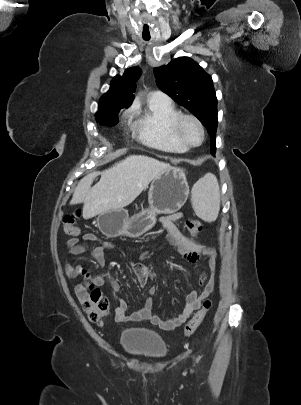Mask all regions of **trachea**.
<instances>
[{
  "label": "trachea",
  "instance_id": "obj_1",
  "mask_svg": "<svg viewBox=\"0 0 301 405\" xmlns=\"http://www.w3.org/2000/svg\"><path fill=\"white\" fill-rule=\"evenodd\" d=\"M149 39H150V37H145V38H144V40H147V41H148Z\"/></svg>",
  "mask_w": 301,
  "mask_h": 405
}]
</instances>
